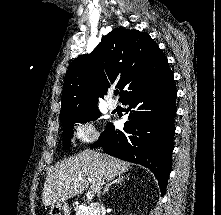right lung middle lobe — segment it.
I'll list each match as a JSON object with an SVG mask.
<instances>
[{
    "instance_id": "1",
    "label": "right lung middle lobe",
    "mask_w": 221,
    "mask_h": 215,
    "mask_svg": "<svg viewBox=\"0 0 221 215\" xmlns=\"http://www.w3.org/2000/svg\"><path fill=\"white\" fill-rule=\"evenodd\" d=\"M99 115L100 112L98 111V108H93L61 120L63 123V148L66 150L71 145V138L73 137L74 133V125L95 120Z\"/></svg>"
}]
</instances>
